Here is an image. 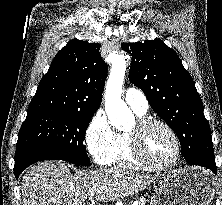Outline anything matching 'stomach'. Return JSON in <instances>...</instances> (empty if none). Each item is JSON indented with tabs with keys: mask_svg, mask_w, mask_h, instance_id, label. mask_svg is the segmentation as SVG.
<instances>
[{
	"mask_svg": "<svg viewBox=\"0 0 222 205\" xmlns=\"http://www.w3.org/2000/svg\"><path fill=\"white\" fill-rule=\"evenodd\" d=\"M212 199L209 173L189 167L161 176L150 205H211Z\"/></svg>",
	"mask_w": 222,
	"mask_h": 205,
	"instance_id": "stomach-1",
	"label": "stomach"
}]
</instances>
